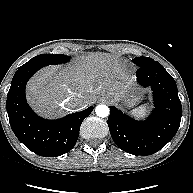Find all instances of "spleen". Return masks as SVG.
<instances>
[{
  "label": "spleen",
  "instance_id": "spleen-1",
  "mask_svg": "<svg viewBox=\"0 0 193 193\" xmlns=\"http://www.w3.org/2000/svg\"><path fill=\"white\" fill-rule=\"evenodd\" d=\"M145 112H146V106H139L138 108H135V109H133L132 111H131V113L133 114V115H136V116H143L144 114H145Z\"/></svg>",
  "mask_w": 193,
  "mask_h": 193
}]
</instances>
